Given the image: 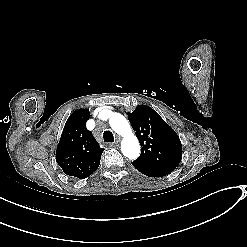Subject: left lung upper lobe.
Segmentation results:
<instances>
[{"label":"left lung upper lobe","instance_id":"left-lung-upper-lobe-1","mask_svg":"<svg viewBox=\"0 0 247 247\" xmlns=\"http://www.w3.org/2000/svg\"><path fill=\"white\" fill-rule=\"evenodd\" d=\"M128 119L142 147L134 163L172 172L182 158V145L176 132L152 108L138 106Z\"/></svg>","mask_w":247,"mask_h":247}]
</instances>
